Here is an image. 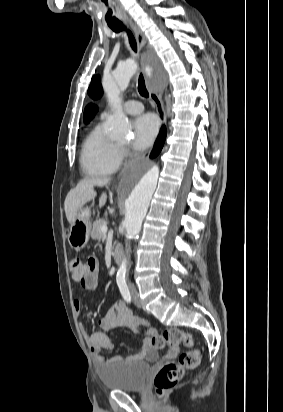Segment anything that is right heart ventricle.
Returning a JSON list of instances; mask_svg holds the SVG:
<instances>
[{"instance_id": "obj_1", "label": "right heart ventricle", "mask_w": 283, "mask_h": 412, "mask_svg": "<svg viewBox=\"0 0 283 412\" xmlns=\"http://www.w3.org/2000/svg\"><path fill=\"white\" fill-rule=\"evenodd\" d=\"M122 159L119 145L105 135L101 123L96 125L82 146L80 164L83 172L88 176L112 175L120 168Z\"/></svg>"}]
</instances>
